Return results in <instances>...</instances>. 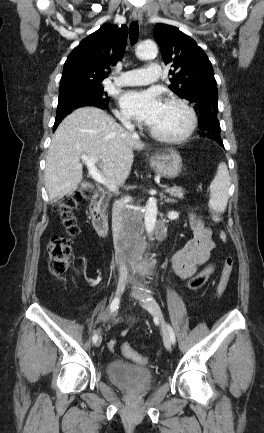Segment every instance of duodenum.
Wrapping results in <instances>:
<instances>
[{
	"label": "duodenum",
	"instance_id": "duodenum-1",
	"mask_svg": "<svg viewBox=\"0 0 264 433\" xmlns=\"http://www.w3.org/2000/svg\"><path fill=\"white\" fill-rule=\"evenodd\" d=\"M103 198L104 194L102 191L94 192L92 194L88 209L94 229L101 237H106L109 232V223L100 209V204Z\"/></svg>",
	"mask_w": 264,
	"mask_h": 433
}]
</instances>
